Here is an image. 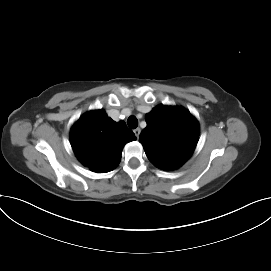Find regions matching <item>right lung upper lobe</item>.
Here are the masks:
<instances>
[{
    "mask_svg": "<svg viewBox=\"0 0 271 271\" xmlns=\"http://www.w3.org/2000/svg\"><path fill=\"white\" fill-rule=\"evenodd\" d=\"M125 122H115L103 110L84 114L72 127L70 141L78 160L96 173L117 167L122 149L135 140Z\"/></svg>",
    "mask_w": 271,
    "mask_h": 271,
    "instance_id": "1",
    "label": "right lung upper lobe"
}]
</instances>
